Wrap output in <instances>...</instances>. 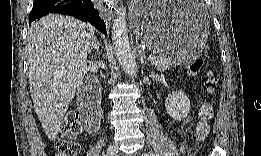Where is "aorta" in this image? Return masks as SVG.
Listing matches in <instances>:
<instances>
[{
  "instance_id": "obj_1",
  "label": "aorta",
  "mask_w": 261,
  "mask_h": 156,
  "mask_svg": "<svg viewBox=\"0 0 261 156\" xmlns=\"http://www.w3.org/2000/svg\"><path fill=\"white\" fill-rule=\"evenodd\" d=\"M112 41L116 58L129 76L136 74L137 64L128 39L126 9L121 6L112 24Z\"/></svg>"
}]
</instances>
